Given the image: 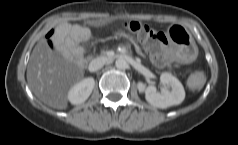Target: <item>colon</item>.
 <instances>
[{
	"mask_svg": "<svg viewBox=\"0 0 238 145\" xmlns=\"http://www.w3.org/2000/svg\"><path fill=\"white\" fill-rule=\"evenodd\" d=\"M124 26L139 39L155 62L161 63L165 60L167 39L162 32L136 21L125 23ZM204 82V76L201 73H195L189 79V87L195 91L200 90L203 87Z\"/></svg>",
	"mask_w": 238,
	"mask_h": 145,
	"instance_id": "5ec220e1",
	"label": "colon"
}]
</instances>
